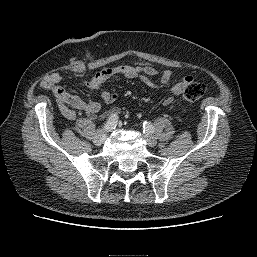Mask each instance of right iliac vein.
I'll return each mask as SVG.
<instances>
[{"label": "right iliac vein", "instance_id": "right-iliac-vein-1", "mask_svg": "<svg viewBox=\"0 0 257 257\" xmlns=\"http://www.w3.org/2000/svg\"><path fill=\"white\" fill-rule=\"evenodd\" d=\"M106 139V134L103 130H98L93 138V143L100 146Z\"/></svg>", "mask_w": 257, "mask_h": 257}]
</instances>
